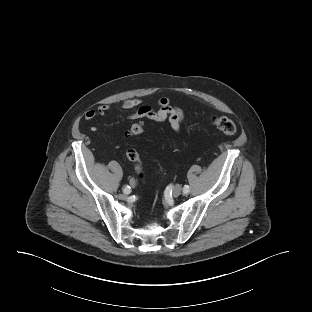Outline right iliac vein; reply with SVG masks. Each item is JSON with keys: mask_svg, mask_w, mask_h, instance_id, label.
<instances>
[{"mask_svg": "<svg viewBox=\"0 0 312 312\" xmlns=\"http://www.w3.org/2000/svg\"><path fill=\"white\" fill-rule=\"evenodd\" d=\"M130 185L131 186H135V181L134 180H130Z\"/></svg>", "mask_w": 312, "mask_h": 312, "instance_id": "right-iliac-vein-1", "label": "right iliac vein"}]
</instances>
